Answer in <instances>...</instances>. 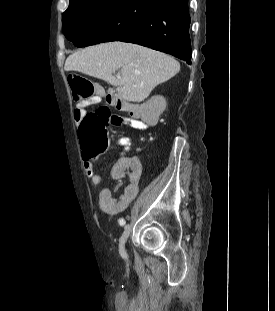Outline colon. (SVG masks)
Listing matches in <instances>:
<instances>
[{
    "label": "colon",
    "instance_id": "colon-1",
    "mask_svg": "<svg viewBox=\"0 0 275 311\" xmlns=\"http://www.w3.org/2000/svg\"><path fill=\"white\" fill-rule=\"evenodd\" d=\"M69 83L72 88L73 101L83 104H100L102 91L89 79L78 75L70 74ZM118 102L122 98L116 93H107V97H111ZM123 116L113 112L107 106H101L95 111L87 112L81 120L79 135L80 141L89 156L100 155L107 152L111 142L109 138L108 128L111 125H123ZM144 121L154 123L152 117L145 116Z\"/></svg>",
    "mask_w": 275,
    "mask_h": 311
}]
</instances>
